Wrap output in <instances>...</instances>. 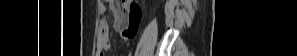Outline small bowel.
I'll use <instances>...</instances> for the list:
<instances>
[{
	"instance_id": "c3829d8e",
	"label": "small bowel",
	"mask_w": 297,
	"mask_h": 56,
	"mask_svg": "<svg viewBox=\"0 0 297 56\" xmlns=\"http://www.w3.org/2000/svg\"><path fill=\"white\" fill-rule=\"evenodd\" d=\"M105 3L109 6L114 15L113 27L120 34L123 40L133 38L138 30L141 10L139 6L132 2H120L115 0H106ZM102 12L105 8L102 6ZM109 25L103 20L100 24L98 39H97V56H104L105 52L110 49Z\"/></svg>"
}]
</instances>
